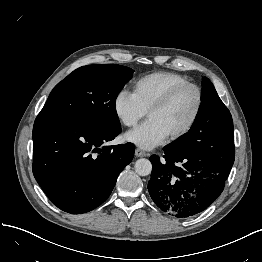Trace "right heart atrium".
<instances>
[{
  "label": "right heart atrium",
  "mask_w": 262,
  "mask_h": 262,
  "mask_svg": "<svg viewBox=\"0 0 262 262\" xmlns=\"http://www.w3.org/2000/svg\"><path fill=\"white\" fill-rule=\"evenodd\" d=\"M114 111L126 127H134L147 113L134 93L125 89L117 93L114 99Z\"/></svg>",
  "instance_id": "d8ad5b80"
}]
</instances>
